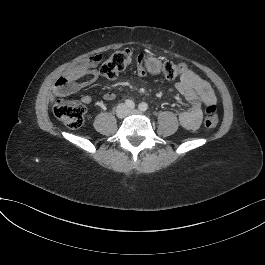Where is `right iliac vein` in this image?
<instances>
[{
	"label": "right iliac vein",
	"mask_w": 265,
	"mask_h": 265,
	"mask_svg": "<svg viewBox=\"0 0 265 265\" xmlns=\"http://www.w3.org/2000/svg\"><path fill=\"white\" fill-rule=\"evenodd\" d=\"M116 113L119 117H125L127 114V108L125 107V105L121 104L117 107L116 109Z\"/></svg>",
	"instance_id": "right-iliac-vein-1"
}]
</instances>
